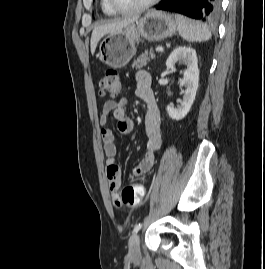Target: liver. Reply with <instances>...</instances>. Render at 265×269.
I'll return each instance as SVG.
<instances>
[{
	"label": "liver",
	"mask_w": 265,
	"mask_h": 269,
	"mask_svg": "<svg viewBox=\"0 0 265 269\" xmlns=\"http://www.w3.org/2000/svg\"><path fill=\"white\" fill-rule=\"evenodd\" d=\"M137 19H139V17L135 16V17L126 18V19L113 21L110 23L96 26L92 32L91 41H90V49H91L92 55L94 54L96 50L98 42L104 35L108 33L120 32L125 27L135 22Z\"/></svg>",
	"instance_id": "obj_1"
}]
</instances>
